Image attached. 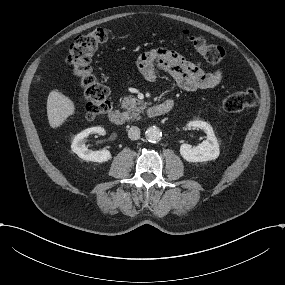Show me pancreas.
<instances>
[{
	"instance_id": "1",
	"label": "pancreas",
	"mask_w": 285,
	"mask_h": 285,
	"mask_svg": "<svg viewBox=\"0 0 285 285\" xmlns=\"http://www.w3.org/2000/svg\"><path fill=\"white\" fill-rule=\"evenodd\" d=\"M148 103L143 100L134 98L133 96H126L122 100V108L127 109L129 115L133 118H137L141 112L144 111Z\"/></svg>"
}]
</instances>
